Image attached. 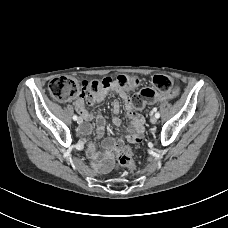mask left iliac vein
<instances>
[{
	"mask_svg": "<svg viewBox=\"0 0 228 228\" xmlns=\"http://www.w3.org/2000/svg\"><path fill=\"white\" fill-rule=\"evenodd\" d=\"M150 122L152 124H156L157 123V118L155 116H152L151 119H150Z\"/></svg>",
	"mask_w": 228,
	"mask_h": 228,
	"instance_id": "obj_1",
	"label": "left iliac vein"
}]
</instances>
